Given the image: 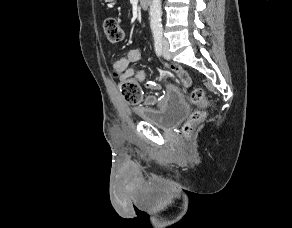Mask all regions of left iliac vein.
Returning <instances> with one entry per match:
<instances>
[{"instance_id":"4c4485c4","label":"left iliac vein","mask_w":292,"mask_h":228,"mask_svg":"<svg viewBox=\"0 0 292 228\" xmlns=\"http://www.w3.org/2000/svg\"><path fill=\"white\" fill-rule=\"evenodd\" d=\"M163 56L165 59H170V53L168 50V42L166 40L163 41Z\"/></svg>"}]
</instances>
